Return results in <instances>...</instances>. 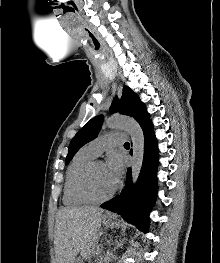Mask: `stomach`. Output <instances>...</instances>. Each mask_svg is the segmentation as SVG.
<instances>
[{"mask_svg": "<svg viewBox=\"0 0 220 263\" xmlns=\"http://www.w3.org/2000/svg\"><path fill=\"white\" fill-rule=\"evenodd\" d=\"M102 221L103 223L107 226V227H116L118 226L119 222L116 220L115 216L114 215H111V216H103L102 217ZM73 263H83L82 260L80 258H77L74 260Z\"/></svg>", "mask_w": 220, "mask_h": 263, "instance_id": "stomach-1", "label": "stomach"}]
</instances>
